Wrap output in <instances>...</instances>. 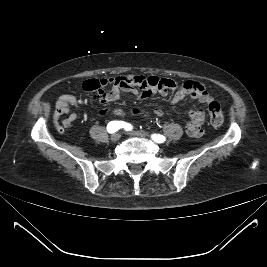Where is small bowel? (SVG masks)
Here are the masks:
<instances>
[{
	"mask_svg": "<svg viewBox=\"0 0 267 267\" xmlns=\"http://www.w3.org/2000/svg\"><path fill=\"white\" fill-rule=\"evenodd\" d=\"M149 82H155L157 85L151 87ZM111 86L109 91L106 88ZM83 89L90 92L95 101L100 103H110L119 99L122 92H131L137 99H145L155 93L166 96L170 90H175L172 103L177 104L189 95L196 101L209 104L213 98L206 91L204 85L198 81H185L178 83L171 79L158 78L155 76H143L127 74L111 78L89 79L83 83ZM78 106V100L73 95H63L56 102L54 116L59 118L67 115L63 120L65 127L70 126L78 117L75 109ZM157 116H162L160 109H155ZM104 115L105 111H100ZM206 114L201 109L192 108L189 111L188 118L185 121V130L187 134L194 138H200L204 134L203 125L206 121Z\"/></svg>",
	"mask_w": 267,
	"mask_h": 267,
	"instance_id": "1",
	"label": "small bowel"
}]
</instances>
